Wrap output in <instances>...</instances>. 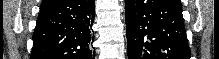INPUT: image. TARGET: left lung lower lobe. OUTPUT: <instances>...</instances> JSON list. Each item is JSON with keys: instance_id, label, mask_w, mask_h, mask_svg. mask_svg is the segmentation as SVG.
Returning a JSON list of instances; mask_svg holds the SVG:
<instances>
[{"instance_id": "1", "label": "left lung lower lobe", "mask_w": 219, "mask_h": 59, "mask_svg": "<svg viewBox=\"0 0 219 59\" xmlns=\"http://www.w3.org/2000/svg\"><path fill=\"white\" fill-rule=\"evenodd\" d=\"M128 59H190L180 0H125Z\"/></svg>"}]
</instances>
